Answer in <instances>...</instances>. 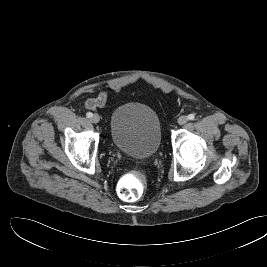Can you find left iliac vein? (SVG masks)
Here are the masks:
<instances>
[{"instance_id": "1", "label": "left iliac vein", "mask_w": 267, "mask_h": 267, "mask_svg": "<svg viewBox=\"0 0 267 267\" xmlns=\"http://www.w3.org/2000/svg\"><path fill=\"white\" fill-rule=\"evenodd\" d=\"M187 121H188V117L187 116H180L179 118H178V120H177V122H178V124L179 125H184V124H186L187 123Z\"/></svg>"}]
</instances>
